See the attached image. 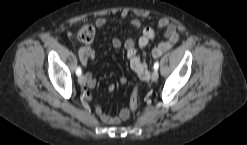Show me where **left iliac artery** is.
<instances>
[{
	"mask_svg": "<svg viewBox=\"0 0 247 145\" xmlns=\"http://www.w3.org/2000/svg\"><path fill=\"white\" fill-rule=\"evenodd\" d=\"M154 69L155 70H158V68H159V62L158 61H156L155 63H154Z\"/></svg>",
	"mask_w": 247,
	"mask_h": 145,
	"instance_id": "1",
	"label": "left iliac artery"
}]
</instances>
